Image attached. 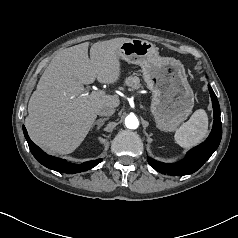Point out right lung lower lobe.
Here are the masks:
<instances>
[{"instance_id": "98d812e1", "label": "right lung lower lobe", "mask_w": 238, "mask_h": 238, "mask_svg": "<svg viewBox=\"0 0 238 238\" xmlns=\"http://www.w3.org/2000/svg\"><path fill=\"white\" fill-rule=\"evenodd\" d=\"M24 136L28 142L29 148L33 156L45 167L55 170L57 172L62 173H78L89 170L95 167L98 163L102 161V159L93 160L84 162L82 164H74L70 163L64 159L55 158L46 154L43 150H41L36 144H34L27 134V130L25 126H23Z\"/></svg>"}]
</instances>
